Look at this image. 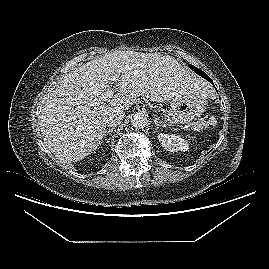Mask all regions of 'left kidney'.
<instances>
[{
  "instance_id": "1",
  "label": "left kidney",
  "mask_w": 269,
  "mask_h": 269,
  "mask_svg": "<svg viewBox=\"0 0 269 269\" xmlns=\"http://www.w3.org/2000/svg\"><path fill=\"white\" fill-rule=\"evenodd\" d=\"M158 139L162 147L170 152L187 151L189 148L188 142L179 135L160 133Z\"/></svg>"
}]
</instances>
